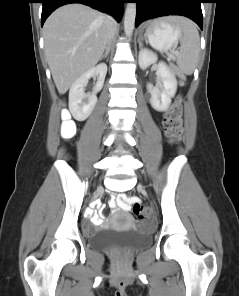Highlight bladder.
<instances>
[{
  "instance_id": "1",
  "label": "bladder",
  "mask_w": 239,
  "mask_h": 296,
  "mask_svg": "<svg viewBox=\"0 0 239 296\" xmlns=\"http://www.w3.org/2000/svg\"><path fill=\"white\" fill-rule=\"evenodd\" d=\"M88 240L92 247L99 250L140 249L150 244L151 235L135 227L125 230L102 228L88 235Z\"/></svg>"
}]
</instances>
